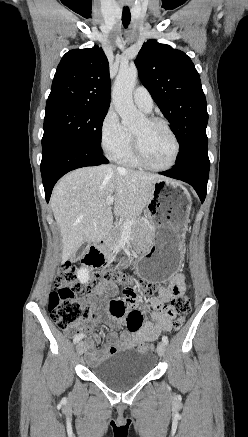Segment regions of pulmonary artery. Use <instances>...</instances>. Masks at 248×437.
<instances>
[{"label": "pulmonary artery", "instance_id": "pulmonary-artery-1", "mask_svg": "<svg viewBox=\"0 0 248 437\" xmlns=\"http://www.w3.org/2000/svg\"><path fill=\"white\" fill-rule=\"evenodd\" d=\"M134 103L144 112H151L153 109V99L149 91L143 87L139 86L133 91Z\"/></svg>", "mask_w": 248, "mask_h": 437}]
</instances>
